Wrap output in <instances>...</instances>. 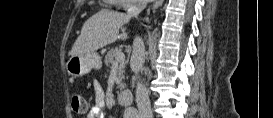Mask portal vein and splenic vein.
<instances>
[{
	"label": "portal vein and splenic vein",
	"instance_id": "obj_1",
	"mask_svg": "<svg viewBox=\"0 0 273 118\" xmlns=\"http://www.w3.org/2000/svg\"><path fill=\"white\" fill-rule=\"evenodd\" d=\"M124 59H125V55L121 51L116 54V61L117 62L124 60ZM116 65H117V63H115L112 68L116 67Z\"/></svg>",
	"mask_w": 273,
	"mask_h": 118
}]
</instances>
